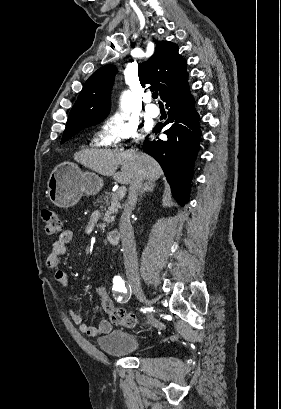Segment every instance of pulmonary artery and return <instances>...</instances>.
<instances>
[{
  "mask_svg": "<svg viewBox=\"0 0 281 409\" xmlns=\"http://www.w3.org/2000/svg\"><path fill=\"white\" fill-rule=\"evenodd\" d=\"M146 111L148 115L152 118H158L160 116V111L158 108H156V104L154 102H149L147 104Z\"/></svg>",
  "mask_w": 281,
  "mask_h": 409,
  "instance_id": "1",
  "label": "pulmonary artery"
}]
</instances>
